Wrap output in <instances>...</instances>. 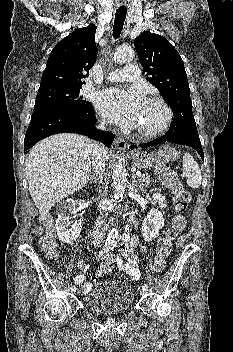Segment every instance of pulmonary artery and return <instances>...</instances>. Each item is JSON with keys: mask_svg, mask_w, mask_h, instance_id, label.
Segmentation results:
<instances>
[{"mask_svg": "<svg viewBox=\"0 0 233 352\" xmlns=\"http://www.w3.org/2000/svg\"><path fill=\"white\" fill-rule=\"evenodd\" d=\"M139 76L140 72L138 66L129 64L122 69H116L110 72L106 79L112 82L135 81L139 78Z\"/></svg>", "mask_w": 233, "mask_h": 352, "instance_id": "obj_1", "label": "pulmonary artery"}]
</instances>
